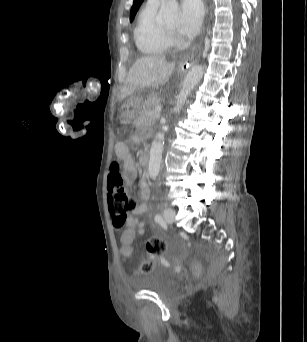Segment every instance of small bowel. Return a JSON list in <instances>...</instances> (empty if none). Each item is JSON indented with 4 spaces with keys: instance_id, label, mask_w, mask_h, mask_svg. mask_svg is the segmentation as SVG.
<instances>
[{
    "instance_id": "small-bowel-1",
    "label": "small bowel",
    "mask_w": 307,
    "mask_h": 342,
    "mask_svg": "<svg viewBox=\"0 0 307 342\" xmlns=\"http://www.w3.org/2000/svg\"><path fill=\"white\" fill-rule=\"evenodd\" d=\"M123 156L125 159L124 164V178L127 183L132 184L137 177V170L135 164L130 159L127 152H123ZM150 196L149 188L147 186L146 179L144 178L141 184V198L142 202L137 204L135 209L131 212L127 225H135V232H145V228L142 222L138 220V216L145 213L148 209V199ZM125 240V239H120Z\"/></svg>"
}]
</instances>
